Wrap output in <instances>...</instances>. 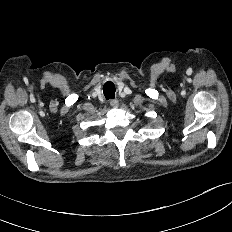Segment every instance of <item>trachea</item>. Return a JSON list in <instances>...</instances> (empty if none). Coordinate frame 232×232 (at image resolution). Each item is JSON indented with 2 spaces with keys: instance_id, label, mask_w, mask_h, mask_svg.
I'll use <instances>...</instances> for the list:
<instances>
[{
  "instance_id": "trachea-1",
  "label": "trachea",
  "mask_w": 232,
  "mask_h": 232,
  "mask_svg": "<svg viewBox=\"0 0 232 232\" xmlns=\"http://www.w3.org/2000/svg\"><path fill=\"white\" fill-rule=\"evenodd\" d=\"M103 93L106 99L115 97V86L111 81H107L103 86Z\"/></svg>"
}]
</instances>
